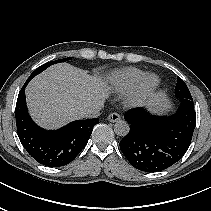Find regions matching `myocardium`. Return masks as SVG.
Listing matches in <instances>:
<instances>
[{
    "mask_svg": "<svg viewBox=\"0 0 211 211\" xmlns=\"http://www.w3.org/2000/svg\"><path fill=\"white\" fill-rule=\"evenodd\" d=\"M160 78L154 73L146 74L138 87L128 98V104L131 106H141L146 103L160 86Z\"/></svg>",
    "mask_w": 211,
    "mask_h": 211,
    "instance_id": "1",
    "label": "myocardium"
}]
</instances>
